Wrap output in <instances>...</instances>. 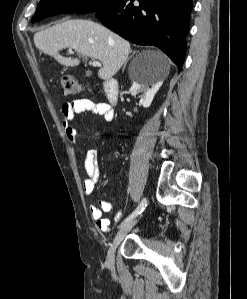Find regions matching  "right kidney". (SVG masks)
Wrapping results in <instances>:
<instances>
[{"label": "right kidney", "instance_id": "right-kidney-1", "mask_svg": "<svg viewBox=\"0 0 247 299\" xmlns=\"http://www.w3.org/2000/svg\"><path fill=\"white\" fill-rule=\"evenodd\" d=\"M161 85L162 82L148 85L144 83H139L138 81H133V84L129 91L134 96L138 93H143V95H141L140 97V104L143 107L148 108L151 105L153 98Z\"/></svg>", "mask_w": 247, "mask_h": 299}]
</instances>
